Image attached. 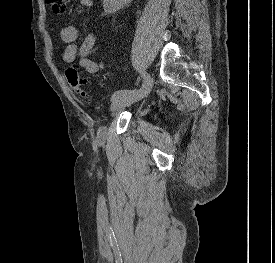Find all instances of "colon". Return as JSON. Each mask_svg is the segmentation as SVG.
Returning a JSON list of instances; mask_svg holds the SVG:
<instances>
[{
	"label": "colon",
	"mask_w": 275,
	"mask_h": 263,
	"mask_svg": "<svg viewBox=\"0 0 275 263\" xmlns=\"http://www.w3.org/2000/svg\"><path fill=\"white\" fill-rule=\"evenodd\" d=\"M46 2L49 4L53 12L64 13L66 11L68 0H46ZM65 76L70 88L76 95L85 99L89 97L88 92L85 89L84 79L81 77L80 72L75 66H68L65 70Z\"/></svg>",
	"instance_id": "obj_1"
}]
</instances>
